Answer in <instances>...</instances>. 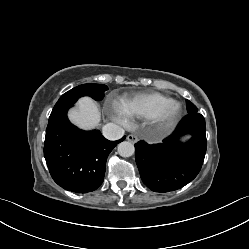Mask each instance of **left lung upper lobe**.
<instances>
[{
	"label": "left lung upper lobe",
	"mask_w": 249,
	"mask_h": 249,
	"mask_svg": "<svg viewBox=\"0 0 249 249\" xmlns=\"http://www.w3.org/2000/svg\"><path fill=\"white\" fill-rule=\"evenodd\" d=\"M186 106H187V112L188 113H192V112H197L198 109L196 108V106L190 102L189 100H186Z\"/></svg>",
	"instance_id": "1"
}]
</instances>
